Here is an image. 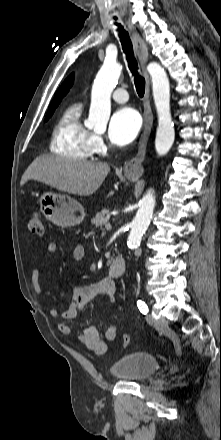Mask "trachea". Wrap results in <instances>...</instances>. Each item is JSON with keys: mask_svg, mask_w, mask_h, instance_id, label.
I'll use <instances>...</instances> for the list:
<instances>
[{"mask_svg": "<svg viewBox=\"0 0 221 440\" xmlns=\"http://www.w3.org/2000/svg\"><path fill=\"white\" fill-rule=\"evenodd\" d=\"M119 30V37L122 44L124 53L126 54V59L128 61V66L130 71L134 76V83L136 91L139 97H143L145 93V79L138 73L137 61L134 57L132 43L127 31L121 26V24L116 23Z\"/></svg>", "mask_w": 221, "mask_h": 440, "instance_id": "1", "label": "trachea"}]
</instances>
